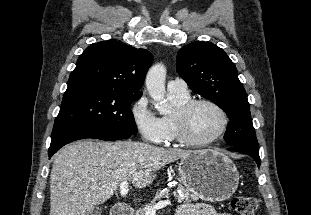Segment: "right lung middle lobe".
I'll return each mask as SVG.
<instances>
[{"label": "right lung middle lobe", "instance_id": "1", "mask_svg": "<svg viewBox=\"0 0 311 215\" xmlns=\"http://www.w3.org/2000/svg\"><path fill=\"white\" fill-rule=\"evenodd\" d=\"M141 94L91 85L68 87L56 117L52 139L79 132L137 133L129 106Z\"/></svg>", "mask_w": 311, "mask_h": 215}]
</instances>
